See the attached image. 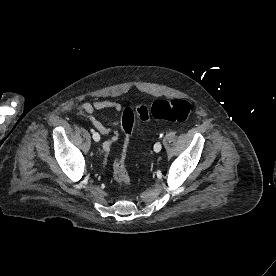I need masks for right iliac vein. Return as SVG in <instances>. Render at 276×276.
<instances>
[{"label": "right iliac vein", "mask_w": 276, "mask_h": 276, "mask_svg": "<svg viewBox=\"0 0 276 276\" xmlns=\"http://www.w3.org/2000/svg\"><path fill=\"white\" fill-rule=\"evenodd\" d=\"M100 135L97 132L93 133V139L96 141V138H98ZM97 142V141H96Z\"/></svg>", "instance_id": "right-iliac-vein-1"}]
</instances>
